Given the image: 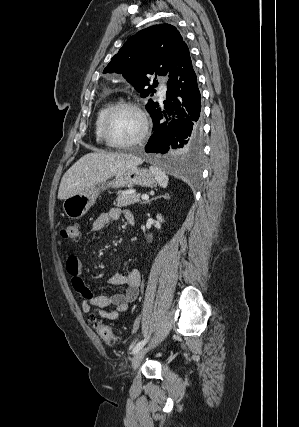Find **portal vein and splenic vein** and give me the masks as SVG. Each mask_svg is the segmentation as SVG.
<instances>
[{"instance_id":"portal-vein-and-splenic-vein-1","label":"portal vein and splenic vein","mask_w":299,"mask_h":427,"mask_svg":"<svg viewBox=\"0 0 299 427\" xmlns=\"http://www.w3.org/2000/svg\"><path fill=\"white\" fill-rule=\"evenodd\" d=\"M143 200H148L149 199V196L148 195H146V194H144V195H142V197H141Z\"/></svg>"}]
</instances>
